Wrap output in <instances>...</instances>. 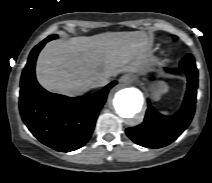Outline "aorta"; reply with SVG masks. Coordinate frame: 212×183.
<instances>
[{"label":"aorta","mask_w":212,"mask_h":183,"mask_svg":"<svg viewBox=\"0 0 212 183\" xmlns=\"http://www.w3.org/2000/svg\"><path fill=\"white\" fill-rule=\"evenodd\" d=\"M142 93L133 87L119 90L114 97L113 105L119 116L133 118L143 106Z\"/></svg>","instance_id":"762f6f07"}]
</instances>
